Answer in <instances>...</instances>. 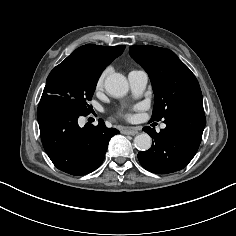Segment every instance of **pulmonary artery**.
<instances>
[{
	"mask_svg": "<svg viewBox=\"0 0 236 236\" xmlns=\"http://www.w3.org/2000/svg\"><path fill=\"white\" fill-rule=\"evenodd\" d=\"M128 78L132 91L136 95L142 94L148 83V74L144 70H133L129 73ZM165 127L164 123L161 124V128Z\"/></svg>",
	"mask_w": 236,
	"mask_h": 236,
	"instance_id": "e3ab8cb5",
	"label": "pulmonary artery"
}]
</instances>
